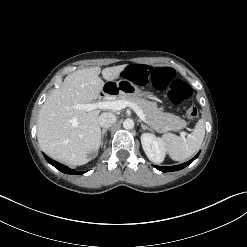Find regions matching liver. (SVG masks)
<instances>
[{
  "mask_svg": "<svg viewBox=\"0 0 247 247\" xmlns=\"http://www.w3.org/2000/svg\"><path fill=\"white\" fill-rule=\"evenodd\" d=\"M125 67L104 68L103 78L114 81ZM100 73V67H91L69 74L42 105L37 138L41 149L51 158L70 165H84L90 160L88 154L100 147V111L73 108L76 104H88L100 96L105 84L99 78Z\"/></svg>",
  "mask_w": 247,
  "mask_h": 247,
  "instance_id": "liver-1",
  "label": "liver"
}]
</instances>
